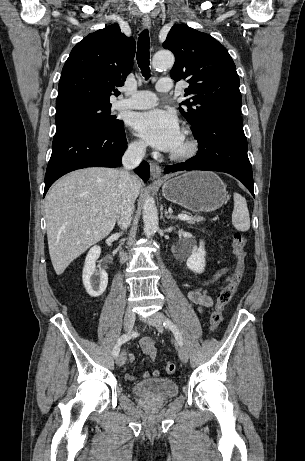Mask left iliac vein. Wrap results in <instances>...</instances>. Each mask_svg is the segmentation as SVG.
<instances>
[{
  "label": "left iliac vein",
  "instance_id": "obj_1",
  "mask_svg": "<svg viewBox=\"0 0 305 461\" xmlns=\"http://www.w3.org/2000/svg\"><path fill=\"white\" fill-rule=\"evenodd\" d=\"M164 321L165 315L161 312H155L150 318L145 319V322L154 326L160 333L164 331ZM179 358L183 363L188 361V351L182 345L179 347Z\"/></svg>",
  "mask_w": 305,
  "mask_h": 461
}]
</instances>
